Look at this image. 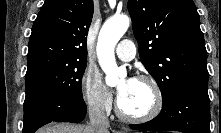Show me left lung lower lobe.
Instances as JSON below:
<instances>
[{
    "mask_svg": "<svg viewBox=\"0 0 221 133\" xmlns=\"http://www.w3.org/2000/svg\"><path fill=\"white\" fill-rule=\"evenodd\" d=\"M207 87L208 83L203 82L185 83L163 100L162 110L156 118L129 126L146 131L210 133V100Z\"/></svg>",
    "mask_w": 221,
    "mask_h": 133,
    "instance_id": "left-lung-lower-lobe-1",
    "label": "left lung lower lobe"
}]
</instances>
